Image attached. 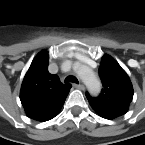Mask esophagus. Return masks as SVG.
Segmentation results:
<instances>
[{
    "instance_id": "obj_1",
    "label": "esophagus",
    "mask_w": 145,
    "mask_h": 145,
    "mask_svg": "<svg viewBox=\"0 0 145 145\" xmlns=\"http://www.w3.org/2000/svg\"><path fill=\"white\" fill-rule=\"evenodd\" d=\"M73 86H74L75 88H77V89H80V90H84V89H85V87H84L83 84H73Z\"/></svg>"
}]
</instances>
